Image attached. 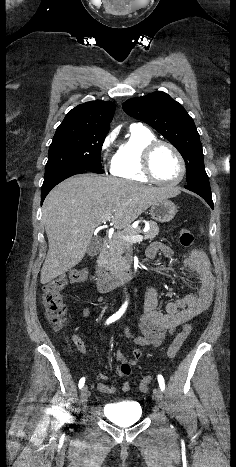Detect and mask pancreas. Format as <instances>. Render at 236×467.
Wrapping results in <instances>:
<instances>
[{"label":"pancreas","instance_id":"obj_1","mask_svg":"<svg viewBox=\"0 0 236 467\" xmlns=\"http://www.w3.org/2000/svg\"><path fill=\"white\" fill-rule=\"evenodd\" d=\"M150 229L145 233V239H154L159 233L156 222L149 221ZM140 228L127 227L122 232L114 234L109 242L108 251L104 252L103 267L111 275H117L128 268L124 253L131 247V243L122 239V236H133L141 233Z\"/></svg>","mask_w":236,"mask_h":467}]
</instances>
